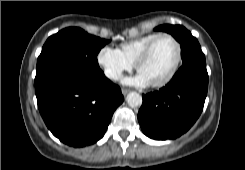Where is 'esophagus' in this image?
Segmentation results:
<instances>
[{
    "instance_id": "34e87169",
    "label": "esophagus",
    "mask_w": 245,
    "mask_h": 170,
    "mask_svg": "<svg viewBox=\"0 0 245 170\" xmlns=\"http://www.w3.org/2000/svg\"><path fill=\"white\" fill-rule=\"evenodd\" d=\"M128 92H129L128 89H126V88H123V89H122V94H123V95H126Z\"/></svg>"
}]
</instances>
